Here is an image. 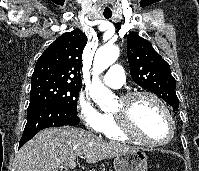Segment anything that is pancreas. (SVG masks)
<instances>
[{"instance_id":"pancreas-1","label":"pancreas","mask_w":199,"mask_h":171,"mask_svg":"<svg viewBox=\"0 0 199 171\" xmlns=\"http://www.w3.org/2000/svg\"><path fill=\"white\" fill-rule=\"evenodd\" d=\"M91 171H95V170H91ZM102 171H104V170H102ZM109 171H111V170H109Z\"/></svg>"}]
</instances>
